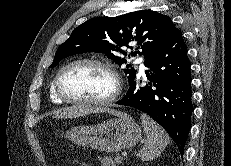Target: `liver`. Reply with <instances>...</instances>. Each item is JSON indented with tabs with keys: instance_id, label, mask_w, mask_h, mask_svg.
Returning a JSON list of instances; mask_svg holds the SVG:
<instances>
[{
	"instance_id": "1",
	"label": "liver",
	"mask_w": 231,
	"mask_h": 166,
	"mask_svg": "<svg viewBox=\"0 0 231 166\" xmlns=\"http://www.w3.org/2000/svg\"><path fill=\"white\" fill-rule=\"evenodd\" d=\"M99 113V112H108L111 115H120L121 112L116 111L114 109H108L105 107H65L62 109H58L54 116L56 118H77L80 116H85L90 113Z\"/></svg>"
}]
</instances>
